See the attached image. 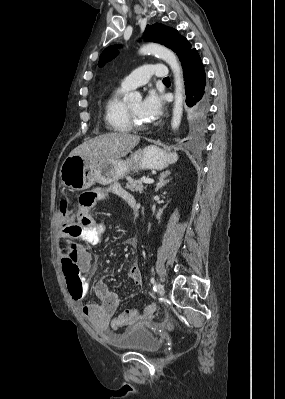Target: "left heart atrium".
Instances as JSON below:
<instances>
[{"label":"left heart atrium","mask_w":285,"mask_h":399,"mask_svg":"<svg viewBox=\"0 0 285 399\" xmlns=\"http://www.w3.org/2000/svg\"><path fill=\"white\" fill-rule=\"evenodd\" d=\"M163 111V100L155 92L150 91L141 102L140 113L145 121L151 122L160 117Z\"/></svg>","instance_id":"1"}]
</instances>
